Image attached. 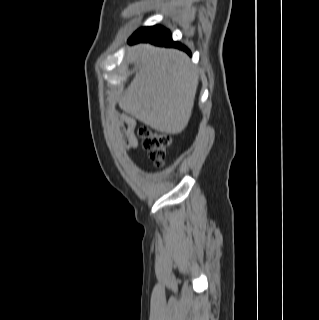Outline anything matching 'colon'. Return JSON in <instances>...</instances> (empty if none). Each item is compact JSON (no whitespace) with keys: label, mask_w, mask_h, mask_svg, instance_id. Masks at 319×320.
Masks as SVG:
<instances>
[{"label":"colon","mask_w":319,"mask_h":320,"mask_svg":"<svg viewBox=\"0 0 319 320\" xmlns=\"http://www.w3.org/2000/svg\"><path fill=\"white\" fill-rule=\"evenodd\" d=\"M139 136L144 149L149 152L150 157L158 165H161L166 156V150L172 142L170 136L164 133L154 132L146 127L139 130Z\"/></svg>","instance_id":"obj_1"}]
</instances>
